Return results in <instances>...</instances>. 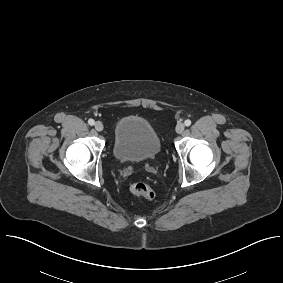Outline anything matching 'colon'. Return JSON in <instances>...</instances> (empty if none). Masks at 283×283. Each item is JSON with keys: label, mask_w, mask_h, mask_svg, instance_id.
I'll return each mask as SVG.
<instances>
[{"label": "colon", "mask_w": 283, "mask_h": 283, "mask_svg": "<svg viewBox=\"0 0 283 283\" xmlns=\"http://www.w3.org/2000/svg\"><path fill=\"white\" fill-rule=\"evenodd\" d=\"M130 190L135 195L141 196L148 200H152L155 197V192L152 187L143 181H136L132 183Z\"/></svg>", "instance_id": "colon-1"}]
</instances>
